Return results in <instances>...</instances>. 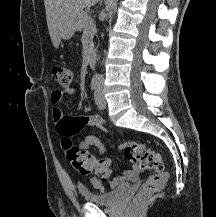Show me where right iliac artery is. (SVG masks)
I'll list each match as a JSON object with an SVG mask.
<instances>
[{
  "label": "right iliac artery",
  "instance_id": "82829eb1",
  "mask_svg": "<svg viewBox=\"0 0 216 217\" xmlns=\"http://www.w3.org/2000/svg\"><path fill=\"white\" fill-rule=\"evenodd\" d=\"M99 84V77L94 75L91 81V90H96Z\"/></svg>",
  "mask_w": 216,
  "mask_h": 217
}]
</instances>
